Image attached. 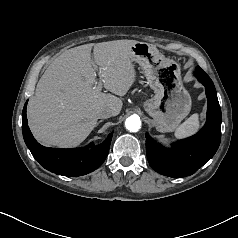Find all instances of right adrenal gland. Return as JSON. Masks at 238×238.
<instances>
[{"label": "right adrenal gland", "mask_w": 238, "mask_h": 238, "mask_svg": "<svg viewBox=\"0 0 238 238\" xmlns=\"http://www.w3.org/2000/svg\"><path fill=\"white\" fill-rule=\"evenodd\" d=\"M102 122V120H100L98 123H97V125L96 126H98L100 123Z\"/></svg>", "instance_id": "right-adrenal-gland-1"}]
</instances>
